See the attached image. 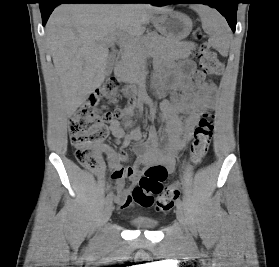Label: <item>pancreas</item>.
I'll return each mask as SVG.
<instances>
[{"instance_id":"cf45deb5","label":"pancreas","mask_w":279,"mask_h":267,"mask_svg":"<svg viewBox=\"0 0 279 267\" xmlns=\"http://www.w3.org/2000/svg\"><path fill=\"white\" fill-rule=\"evenodd\" d=\"M194 47L193 43L177 42L161 37L157 33H150L140 40H134L125 45L119 75L123 80L134 81L141 74L146 56L153 55L177 60L187 58Z\"/></svg>"}]
</instances>
